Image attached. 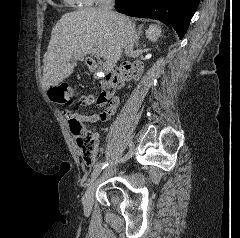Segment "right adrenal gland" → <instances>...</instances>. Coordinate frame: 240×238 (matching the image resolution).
Listing matches in <instances>:
<instances>
[{
	"label": "right adrenal gland",
	"mask_w": 240,
	"mask_h": 238,
	"mask_svg": "<svg viewBox=\"0 0 240 238\" xmlns=\"http://www.w3.org/2000/svg\"><path fill=\"white\" fill-rule=\"evenodd\" d=\"M142 25H140V27L138 28L137 32H136V41H135V45L136 47L139 46V39L141 37V34H142Z\"/></svg>",
	"instance_id": "obj_1"
}]
</instances>
